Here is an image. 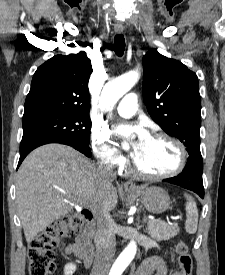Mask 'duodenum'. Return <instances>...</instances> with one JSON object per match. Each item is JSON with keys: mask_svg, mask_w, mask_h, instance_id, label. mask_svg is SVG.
I'll list each match as a JSON object with an SVG mask.
<instances>
[{"mask_svg": "<svg viewBox=\"0 0 225 275\" xmlns=\"http://www.w3.org/2000/svg\"><path fill=\"white\" fill-rule=\"evenodd\" d=\"M93 230V222L91 220L79 231L74 242L75 253L87 268L91 266L94 258V250L90 243Z\"/></svg>", "mask_w": 225, "mask_h": 275, "instance_id": "obj_1", "label": "duodenum"}]
</instances>
